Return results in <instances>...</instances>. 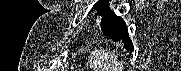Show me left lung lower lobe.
<instances>
[{
  "mask_svg": "<svg viewBox=\"0 0 181 71\" xmlns=\"http://www.w3.org/2000/svg\"><path fill=\"white\" fill-rule=\"evenodd\" d=\"M101 29L105 35L113 40H122V43H124L127 50H134L132 41L129 38L126 24L121 18L117 17L113 11H109L103 15L101 20Z\"/></svg>",
  "mask_w": 181,
  "mask_h": 71,
  "instance_id": "1",
  "label": "left lung lower lobe"
}]
</instances>
